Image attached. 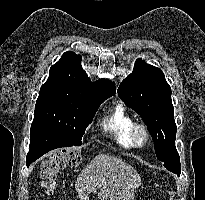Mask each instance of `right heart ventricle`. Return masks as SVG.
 <instances>
[{
	"mask_svg": "<svg viewBox=\"0 0 205 200\" xmlns=\"http://www.w3.org/2000/svg\"><path fill=\"white\" fill-rule=\"evenodd\" d=\"M135 123L132 115L122 103H117L101 122L103 130L123 148H132L130 129Z\"/></svg>",
	"mask_w": 205,
	"mask_h": 200,
	"instance_id": "e07e8e85",
	"label": "right heart ventricle"
}]
</instances>
